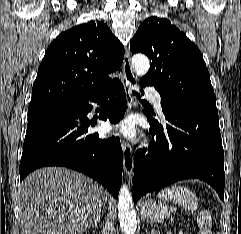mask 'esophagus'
<instances>
[{"label":"esophagus","mask_w":241,"mask_h":234,"mask_svg":"<svg viewBox=\"0 0 241 234\" xmlns=\"http://www.w3.org/2000/svg\"><path fill=\"white\" fill-rule=\"evenodd\" d=\"M123 73H124L123 85L127 96L128 111L130 112L135 105L133 93L134 91L137 90L138 84L131 66L130 52L127 48L125 50V55L123 60ZM122 150H123L124 171L127 177L131 178L133 175V167H134L133 150L131 145L126 141L122 142Z\"/></svg>","instance_id":"34e87169"}]
</instances>
